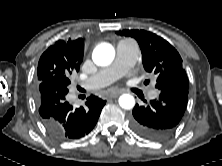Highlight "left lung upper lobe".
Wrapping results in <instances>:
<instances>
[{"label": "left lung upper lobe", "mask_w": 222, "mask_h": 166, "mask_svg": "<svg viewBox=\"0 0 222 166\" xmlns=\"http://www.w3.org/2000/svg\"><path fill=\"white\" fill-rule=\"evenodd\" d=\"M121 36L133 37L137 40L142 62L147 72L157 74L156 88L178 85L189 88V81L182 66V59L177 50L166 40L145 30L118 31Z\"/></svg>", "instance_id": "5c2ea615"}]
</instances>
